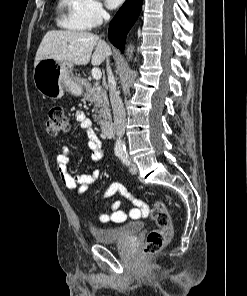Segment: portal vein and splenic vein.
Wrapping results in <instances>:
<instances>
[{
    "label": "portal vein and splenic vein",
    "mask_w": 247,
    "mask_h": 296,
    "mask_svg": "<svg viewBox=\"0 0 247 296\" xmlns=\"http://www.w3.org/2000/svg\"><path fill=\"white\" fill-rule=\"evenodd\" d=\"M92 77H93L96 81L100 80L101 77H102L101 70H100L99 68L94 67V68L92 69Z\"/></svg>",
    "instance_id": "portal-vein-and-splenic-vein-1"
}]
</instances>
